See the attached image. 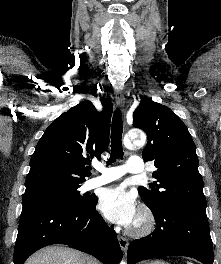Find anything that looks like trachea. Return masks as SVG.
I'll return each mask as SVG.
<instances>
[{
  "label": "trachea",
  "mask_w": 221,
  "mask_h": 264,
  "mask_svg": "<svg viewBox=\"0 0 221 264\" xmlns=\"http://www.w3.org/2000/svg\"><path fill=\"white\" fill-rule=\"evenodd\" d=\"M122 113L120 109H116L112 118L111 127V155L108 159L107 164L115 162L118 158H123V148H122Z\"/></svg>",
  "instance_id": "1"
}]
</instances>
